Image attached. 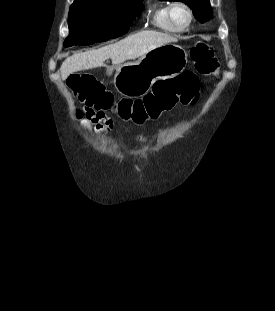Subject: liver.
I'll return each instance as SVG.
<instances>
[{"label": "liver", "mask_w": 275, "mask_h": 311, "mask_svg": "<svg viewBox=\"0 0 275 311\" xmlns=\"http://www.w3.org/2000/svg\"><path fill=\"white\" fill-rule=\"evenodd\" d=\"M174 41L175 38L164 33L141 31L117 43L66 58L60 67L61 77L66 79L77 71L103 67L104 61L109 58L113 65H120L127 60L141 57L158 46Z\"/></svg>", "instance_id": "1"}]
</instances>
